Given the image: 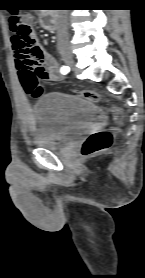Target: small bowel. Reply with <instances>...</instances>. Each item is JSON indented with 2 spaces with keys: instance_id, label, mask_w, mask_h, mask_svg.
<instances>
[{
  "instance_id": "obj_1",
  "label": "small bowel",
  "mask_w": 145,
  "mask_h": 278,
  "mask_svg": "<svg viewBox=\"0 0 145 278\" xmlns=\"http://www.w3.org/2000/svg\"><path fill=\"white\" fill-rule=\"evenodd\" d=\"M8 4L7 2H5ZM25 24H32L33 16L26 12L20 15ZM12 49L20 85L28 97H37L40 89L36 88L32 94L26 92V88L32 85V78L37 76L49 82L60 78V70L53 57L44 51L34 35H31L27 46L22 45L21 38L17 35L12 37ZM38 79V85H40ZM30 124H34V118L30 117Z\"/></svg>"
}]
</instances>
